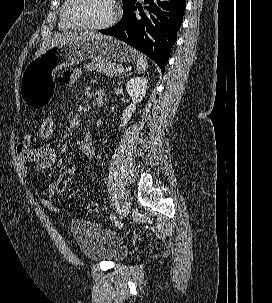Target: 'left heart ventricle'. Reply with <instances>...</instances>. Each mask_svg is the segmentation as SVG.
<instances>
[{
  "label": "left heart ventricle",
  "mask_w": 272,
  "mask_h": 303,
  "mask_svg": "<svg viewBox=\"0 0 272 303\" xmlns=\"http://www.w3.org/2000/svg\"><path fill=\"white\" fill-rule=\"evenodd\" d=\"M112 13L111 0H77L73 8L75 18L90 25L104 23Z\"/></svg>",
  "instance_id": "1"
}]
</instances>
